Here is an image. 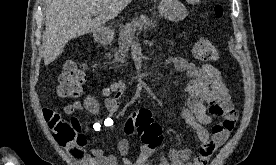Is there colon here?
I'll return each mask as SVG.
<instances>
[{
    "instance_id": "1",
    "label": "colon",
    "mask_w": 276,
    "mask_h": 165,
    "mask_svg": "<svg viewBox=\"0 0 276 165\" xmlns=\"http://www.w3.org/2000/svg\"><path fill=\"white\" fill-rule=\"evenodd\" d=\"M214 13L217 17H221L223 15L222 7L216 5ZM193 51L194 55L202 61H214L218 56L214 43L208 39L198 40L193 47ZM85 78L83 64L74 59L67 61L59 76L56 88L57 95L63 98L80 95ZM47 119L54 138L60 145L67 146L82 143L81 128L78 123L63 119L57 112L47 114ZM124 131L128 135L138 134L144 146L151 150L160 146L163 140L162 128L147 108H141L134 112L126 121Z\"/></svg>"
}]
</instances>
